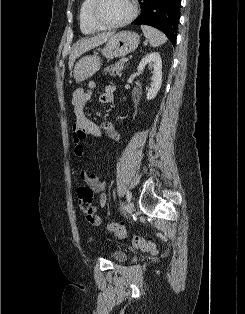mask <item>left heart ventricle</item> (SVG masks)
<instances>
[{
	"label": "left heart ventricle",
	"mask_w": 245,
	"mask_h": 314,
	"mask_svg": "<svg viewBox=\"0 0 245 314\" xmlns=\"http://www.w3.org/2000/svg\"><path fill=\"white\" fill-rule=\"evenodd\" d=\"M130 0H100L98 14L107 23L125 19L131 12Z\"/></svg>",
	"instance_id": "obj_1"
}]
</instances>
